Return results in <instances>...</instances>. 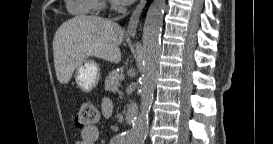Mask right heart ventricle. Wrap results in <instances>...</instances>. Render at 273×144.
Masks as SVG:
<instances>
[{"label": "right heart ventricle", "instance_id": "right-heart-ventricle-1", "mask_svg": "<svg viewBox=\"0 0 273 144\" xmlns=\"http://www.w3.org/2000/svg\"><path fill=\"white\" fill-rule=\"evenodd\" d=\"M67 11L73 16H87L98 10L99 0H66Z\"/></svg>", "mask_w": 273, "mask_h": 144}]
</instances>
